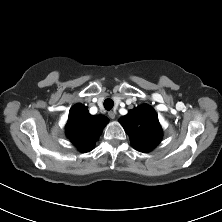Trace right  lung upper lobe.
I'll use <instances>...</instances> for the list:
<instances>
[{"label":"right lung upper lobe","instance_id":"right-lung-upper-lobe-1","mask_svg":"<svg viewBox=\"0 0 222 222\" xmlns=\"http://www.w3.org/2000/svg\"><path fill=\"white\" fill-rule=\"evenodd\" d=\"M108 122L107 117L91 115L86 106L76 104L70 109L66 134L79 151L89 152Z\"/></svg>","mask_w":222,"mask_h":222}]
</instances>
